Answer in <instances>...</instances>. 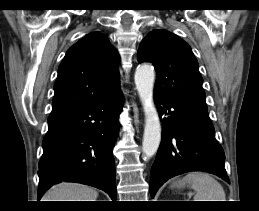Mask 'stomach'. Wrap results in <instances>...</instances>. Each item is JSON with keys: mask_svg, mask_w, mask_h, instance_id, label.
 <instances>
[{"mask_svg": "<svg viewBox=\"0 0 259 211\" xmlns=\"http://www.w3.org/2000/svg\"><path fill=\"white\" fill-rule=\"evenodd\" d=\"M185 184H186V182H185V181H181V180H179V181H175V182H173L172 187L182 188V187H184V186H185Z\"/></svg>", "mask_w": 259, "mask_h": 211, "instance_id": "1", "label": "stomach"}]
</instances>
